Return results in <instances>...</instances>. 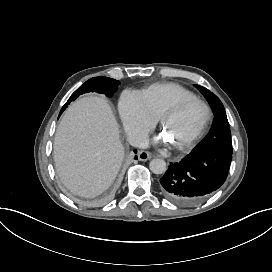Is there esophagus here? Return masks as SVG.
I'll list each match as a JSON object with an SVG mask.
<instances>
[{"label": "esophagus", "instance_id": "1", "mask_svg": "<svg viewBox=\"0 0 272 272\" xmlns=\"http://www.w3.org/2000/svg\"><path fill=\"white\" fill-rule=\"evenodd\" d=\"M152 158V154L148 151H145V150H141L139 153H138V159L140 161H148L149 159Z\"/></svg>", "mask_w": 272, "mask_h": 272}]
</instances>
